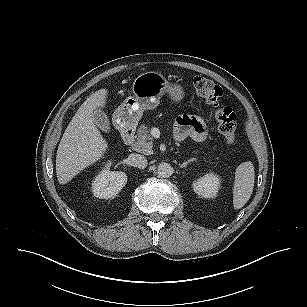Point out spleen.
<instances>
[{
	"label": "spleen",
	"mask_w": 307,
	"mask_h": 307,
	"mask_svg": "<svg viewBox=\"0 0 307 307\" xmlns=\"http://www.w3.org/2000/svg\"><path fill=\"white\" fill-rule=\"evenodd\" d=\"M255 171L252 162L241 163L235 172L233 187V205L235 209L242 208L253 192Z\"/></svg>",
	"instance_id": "1"
}]
</instances>
